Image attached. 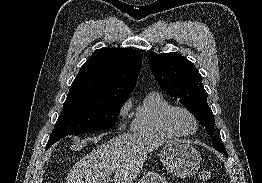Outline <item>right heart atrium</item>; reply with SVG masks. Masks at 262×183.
Instances as JSON below:
<instances>
[{"mask_svg":"<svg viewBox=\"0 0 262 183\" xmlns=\"http://www.w3.org/2000/svg\"><path fill=\"white\" fill-rule=\"evenodd\" d=\"M130 109V101L127 100L123 103L119 110L120 129H123L127 123V116Z\"/></svg>","mask_w":262,"mask_h":183,"instance_id":"d8ad5b80","label":"right heart atrium"}]
</instances>
